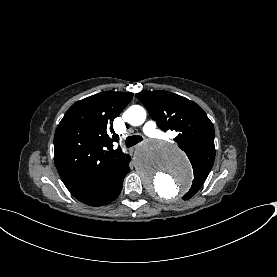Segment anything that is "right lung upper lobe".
Here are the masks:
<instances>
[{
	"label": "right lung upper lobe",
	"mask_w": 277,
	"mask_h": 277,
	"mask_svg": "<svg viewBox=\"0 0 277 277\" xmlns=\"http://www.w3.org/2000/svg\"><path fill=\"white\" fill-rule=\"evenodd\" d=\"M133 93L104 91L74 103L57 126L55 164L70 193L78 198L103 182L127 155L113 149L119 136L113 120Z\"/></svg>",
	"instance_id": "right-lung-upper-lobe-1"
}]
</instances>
